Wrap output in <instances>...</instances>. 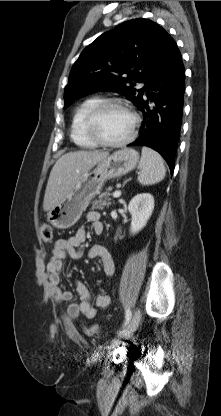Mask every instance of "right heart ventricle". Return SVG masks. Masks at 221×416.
Returning <instances> with one entry per match:
<instances>
[{"label": "right heart ventricle", "instance_id": "e07e8e85", "mask_svg": "<svg viewBox=\"0 0 221 416\" xmlns=\"http://www.w3.org/2000/svg\"><path fill=\"white\" fill-rule=\"evenodd\" d=\"M101 101V98L92 96L82 101L75 109L71 122V138L77 146L94 148L98 145L86 133L85 121L90 111Z\"/></svg>", "mask_w": 221, "mask_h": 416}]
</instances>
